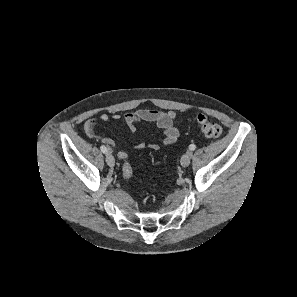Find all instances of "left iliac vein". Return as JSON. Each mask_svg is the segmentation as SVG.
I'll return each mask as SVG.
<instances>
[{"mask_svg": "<svg viewBox=\"0 0 297 297\" xmlns=\"http://www.w3.org/2000/svg\"><path fill=\"white\" fill-rule=\"evenodd\" d=\"M192 156V153L191 152H187L185 153L182 157H181V165L183 167H187L189 164H190V158Z\"/></svg>", "mask_w": 297, "mask_h": 297, "instance_id": "left-iliac-vein-1", "label": "left iliac vein"}]
</instances>
